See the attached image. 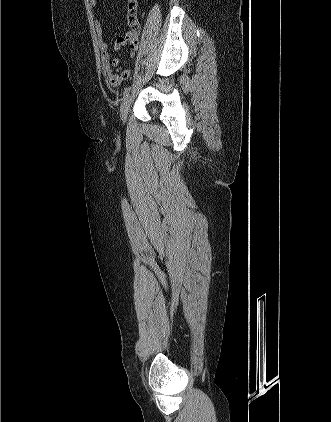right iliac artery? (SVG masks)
Instances as JSON below:
<instances>
[{
	"label": "right iliac artery",
	"mask_w": 331,
	"mask_h": 422,
	"mask_svg": "<svg viewBox=\"0 0 331 422\" xmlns=\"http://www.w3.org/2000/svg\"><path fill=\"white\" fill-rule=\"evenodd\" d=\"M130 89H131V87H127V88H125L124 93H123V99H124L126 96H128V95H129Z\"/></svg>",
	"instance_id": "right-iliac-artery-1"
}]
</instances>
